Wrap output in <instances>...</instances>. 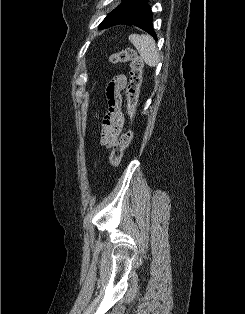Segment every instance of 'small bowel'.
<instances>
[{"label":"small bowel","mask_w":245,"mask_h":314,"mask_svg":"<svg viewBox=\"0 0 245 314\" xmlns=\"http://www.w3.org/2000/svg\"><path fill=\"white\" fill-rule=\"evenodd\" d=\"M125 86V76L117 75L106 87L107 112L102 119L100 142L107 147H111L116 143L123 129L122 90Z\"/></svg>","instance_id":"1"}]
</instances>
